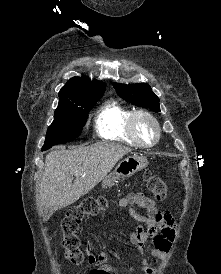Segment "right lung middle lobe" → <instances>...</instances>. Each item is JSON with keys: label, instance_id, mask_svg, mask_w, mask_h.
I'll return each mask as SVG.
<instances>
[{"label": "right lung middle lobe", "instance_id": "1", "mask_svg": "<svg viewBox=\"0 0 221 274\" xmlns=\"http://www.w3.org/2000/svg\"><path fill=\"white\" fill-rule=\"evenodd\" d=\"M102 96L103 94H98L59 103L55 110L54 121L48 128L42 150L77 138L87 121L89 110Z\"/></svg>", "mask_w": 221, "mask_h": 274}]
</instances>
